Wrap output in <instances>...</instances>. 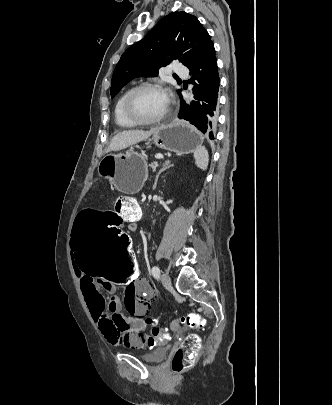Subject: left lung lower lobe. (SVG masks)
Listing matches in <instances>:
<instances>
[{
  "instance_id": "1",
  "label": "left lung lower lobe",
  "mask_w": 332,
  "mask_h": 405,
  "mask_svg": "<svg viewBox=\"0 0 332 405\" xmlns=\"http://www.w3.org/2000/svg\"><path fill=\"white\" fill-rule=\"evenodd\" d=\"M190 69L194 83L195 101L190 105L183 100L181 93V109L178 114L180 119L188 120L202 133L214 139L213 132L218 118V91L220 78L213 43L204 51L201 57Z\"/></svg>"
}]
</instances>
